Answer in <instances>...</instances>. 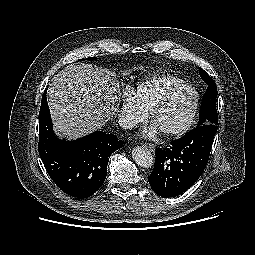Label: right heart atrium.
Returning <instances> with one entry per match:
<instances>
[{
    "mask_svg": "<svg viewBox=\"0 0 255 255\" xmlns=\"http://www.w3.org/2000/svg\"><path fill=\"white\" fill-rule=\"evenodd\" d=\"M121 120L125 127L131 128L143 122L147 114L135 98L134 92L125 89L121 99Z\"/></svg>",
    "mask_w": 255,
    "mask_h": 255,
    "instance_id": "d8ad5b80",
    "label": "right heart atrium"
}]
</instances>
